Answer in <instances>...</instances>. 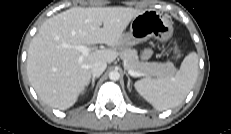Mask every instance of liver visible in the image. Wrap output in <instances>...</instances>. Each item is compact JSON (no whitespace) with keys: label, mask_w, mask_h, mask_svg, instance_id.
I'll return each mask as SVG.
<instances>
[{"label":"liver","mask_w":231,"mask_h":134,"mask_svg":"<svg viewBox=\"0 0 231 134\" xmlns=\"http://www.w3.org/2000/svg\"><path fill=\"white\" fill-rule=\"evenodd\" d=\"M142 12L126 7H73L47 19L31 40L27 56L28 78L39 98L60 110L73 106L89 84L91 65L118 57L124 30ZM98 43L112 49L88 55L76 49Z\"/></svg>","instance_id":"1"}]
</instances>
